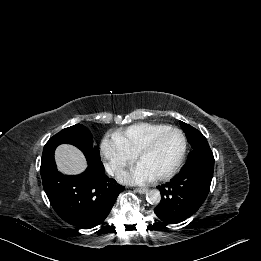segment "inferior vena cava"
I'll use <instances>...</instances> for the list:
<instances>
[{
  "label": "inferior vena cava",
  "instance_id": "1",
  "mask_svg": "<svg viewBox=\"0 0 261 261\" xmlns=\"http://www.w3.org/2000/svg\"><path fill=\"white\" fill-rule=\"evenodd\" d=\"M105 170H106L107 174L111 175V176L119 174L122 171L121 167L114 163L106 164Z\"/></svg>",
  "mask_w": 261,
  "mask_h": 261
}]
</instances>
